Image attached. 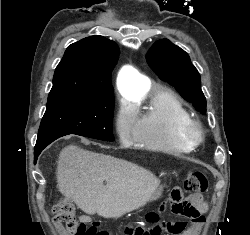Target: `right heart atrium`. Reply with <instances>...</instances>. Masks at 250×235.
I'll return each instance as SVG.
<instances>
[{
  "mask_svg": "<svg viewBox=\"0 0 250 235\" xmlns=\"http://www.w3.org/2000/svg\"><path fill=\"white\" fill-rule=\"evenodd\" d=\"M114 128L123 144L133 143L137 137V117L132 108L120 103L114 116Z\"/></svg>",
  "mask_w": 250,
  "mask_h": 235,
  "instance_id": "right-heart-atrium-1",
  "label": "right heart atrium"
}]
</instances>
